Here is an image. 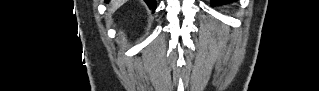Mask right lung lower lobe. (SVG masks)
Instances as JSON below:
<instances>
[{
  "mask_svg": "<svg viewBox=\"0 0 319 91\" xmlns=\"http://www.w3.org/2000/svg\"><path fill=\"white\" fill-rule=\"evenodd\" d=\"M146 4L149 6V8L152 10V12L156 9V0H144Z\"/></svg>",
  "mask_w": 319,
  "mask_h": 91,
  "instance_id": "1",
  "label": "right lung lower lobe"
}]
</instances>
